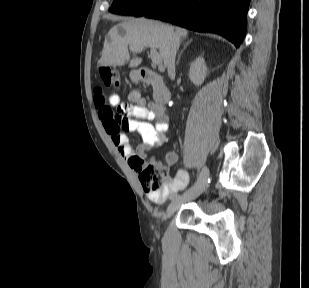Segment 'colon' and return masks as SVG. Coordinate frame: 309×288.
<instances>
[{
  "instance_id": "colon-1",
  "label": "colon",
  "mask_w": 309,
  "mask_h": 288,
  "mask_svg": "<svg viewBox=\"0 0 309 288\" xmlns=\"http://www.w3.org/2000/svg\"><path fill=\"white\" fill-rule=\"evenodd\" d=\"M100 81L105 88H117L120 86V78L118 72L109 67L103 66L99 69ZM99 107L100 114H104L109 117L114 124L118 126L124 125L128 119L127 110L119 106L117 109H113L105 97L98 94L96 99ZM138 166L140 167L139 180L148 193L160 192L166 184L168 178V170L165 166H158L159 162L155 158H150L147 162V167L143 168L144 162L140 159H136Z\"/></svg>"
}]
</instances>
